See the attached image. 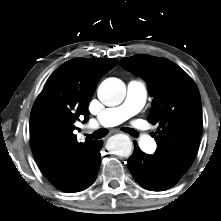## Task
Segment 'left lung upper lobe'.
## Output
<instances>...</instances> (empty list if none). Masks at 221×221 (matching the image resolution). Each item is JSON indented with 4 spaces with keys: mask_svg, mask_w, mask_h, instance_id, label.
I'll list each match as a JSON object with an SVG mask.
<instances>
[{
    "mask_svg": "<svg viewBox=\"0 0 221 221\" xmlns=\"http://www.w3.org/2000/svg\"><path fill=\"white\" fill-rule=\"evenodd\" d=\"M121 65L148 83L153 101L147 119L159 125L153 156L168 178L178 182L195 158L203 131L196 84L168 59L135 55L121 59Z\"/></svg>",
    "mask_w": 221,
    "mask_h": 221,
    "instance_id": "obj_1",
    "label": "left lung upper lobe"
}]
</instances>
